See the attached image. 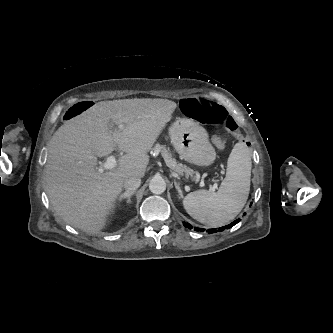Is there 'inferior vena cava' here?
Returning <instances> with one entry per match:
<instances>
[{
    "label": "inferior vena cava",
    "mask_w": 333,
    "mask_h": 333,
    "mask_svg": "<svg viewBox=\"0 0 333 333\" xmlns=\"http://www.w3.org/2000/svg\"><path fill=\"white\" fill-rule=\"evenodd\" d=\"M141 184V179L138 176H129L124 180V188L128 192H134Z\"/></svg>",
    "instance_id": "inferior-vena-cava-1"
}]
</instances>
